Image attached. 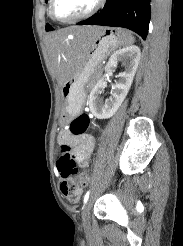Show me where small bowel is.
<instances>
[{"label":"small bowel","instance_id":"small-bowel-1","mask_svg":"<svg viewBox=\"0 0 183 246\" xmlns=\"http://www.w3.org/2000/svg\"><path fill=\"white\" fill-rule=\"evenodd\" d=\"M59 142L71 148L70 156L86 166L94 148V138L90 134L74 135L70 130H63L59 135ZM112 187H121V182H112Z\"/></svg>","mask_w":183,"mask_h":246}]
</instances>
